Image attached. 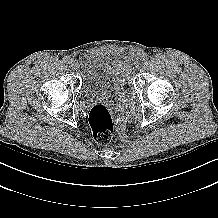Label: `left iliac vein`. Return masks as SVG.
<instances>
[{
    "instance_id": "left-iliac-vein-1",
    "label": "left iliac vein",
    "mask_w": 218,
    "mask_h": 218,
    "mask_svg": "<svg viewBox=\"0 0 218 218\" xmlns=\"http://www.w3.org/2000/svg\"><path fill=\"white\" fill-rule=\"evenodd\" d=\"M138 62H139L138 60H137L136 62H133V65H132V66H133L134 68H135V67H138Z\"/></svg>"
}]
</instances>
